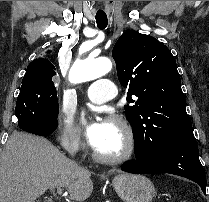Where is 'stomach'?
<instances>
[{
  "instance_id": "obj_1",
  "label": "stomach",
  "mask_w": 209,
  "mask_h": 202,
  "mask_svg": "<svg viewBox=\"0 0 209 202\" xmlns=\"http://www.w3.org/2000/svg\"><path fill=\"white\" fill-rule=\"evenodd\" d=\"M113 186L124 202H151L155 195L153 183L143 175L119 174L114 177Z\"/></svg>"
}]
</instances>
